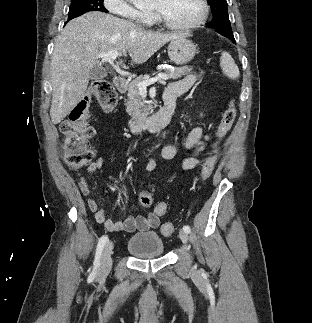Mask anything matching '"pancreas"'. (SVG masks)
<instances>
[{
    "mask_svg": "<svg viewBox=\"0 0 312 323\" xmlns=\"http://www.w3.org/2000/svg\"><path fill=\"white\" fill-rule=\"evenodd\" d=\"M193 68L189 66H183V68H174V70H165L164 74H167L170 80H178L186 74H190ZM145 80H150L149 76H139L136 80H132L128 84V98L126 100V112L131 116V120L134 122H145L148 120L147 116L151 110V106H145L142 96L138 90V84L145 82Z\"/></svg>",
    "mask_w": 312,
    "mask_h": 323,
    "instance_id": "pancreas-1",
    "label": "pancreas"
}]
</instances>
